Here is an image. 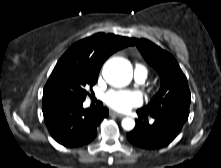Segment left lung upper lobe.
Returning <instances> with one entry per match:
<instances>
[{
  "label": "left lung upper lobe",
  "mask_w": 221,
  "mask_h": 168,
  "mask_svg": "<svg viewBox=\"0 0 221 168\" xmlns=\"http://www.w3.org/2000/svg\"><path fill=\"white\" fill-rule=\"evenodd\" d=\"M144 59L159 74L161 87L148 105L139 109L150 115L173 114L188 118L190 90L176 59L146 39H133Z\"/></svg>",
  "instance_id": "1"
}]
</instances>
